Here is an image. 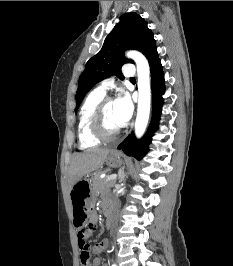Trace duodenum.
Listing matches in <instances>:
<instances>
[{
    "label": "duodenum",
    "instance_id": "obj_1",
    "mask_svg": "<svg viewBox=\"0 0 233 266\" xmlns=\"http://www.w3.org/2000/svg\"><path fill=\"white\" fill-rule=\"evenodd\" d=\"M111 213H112V207L109 204H105V206H104V214L107 217H110Z\"/></svg>",
    "mask_w": 233,
    "mask_h": 266
}]
</instances>
